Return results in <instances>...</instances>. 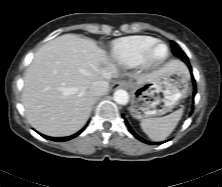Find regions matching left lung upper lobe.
<instances>
[{
  "instance_id": "left-lung-upper-lobe-1",
  "label": "left lung upper lobe",
  "mask_w": 222,
  "mask_h": 187,
  "mask_svg": "<svg viewBox=\"0 0 222 187\" xmlns=\"http://www.w3.org/2000/svg\"><path fill=\"white\" fill-rule=\"evenodd\" d=\"M171 45L175 56H178L180 58H187L182 49L174 41H171Z\"/></svg>"
}]
</instances>
